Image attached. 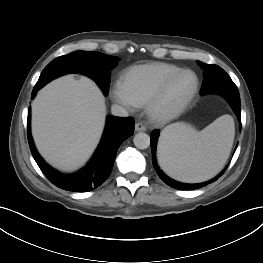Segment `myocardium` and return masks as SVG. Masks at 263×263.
Wrapping results in <instances>:
<instances>
[{
    "label": "myocardium",
    "instance_id": "f54148a6",
    "mask_svg": "<svg viewBox=\"0 0 263 263\" xmlns=\"http://www.w3.org/2000/svg\"><path fill=\"white\" fill-rule=\"evenodd\" d=\"M185 73H191L195 77V84L190 92V94L182 100L180 103L176 104L175 106L168 108V109H163L161 107V103L171 86V84L181 75ZM199 86H200V80L198 74L192 70V69H181L169 77H167L160 85L159 87L155 90V92L151 95L149 100L146 103V111L149 115V117L159 123L163 122H168L176 117H178L180 114H182L192 103L194 98L196 97L198 91H199Z\"/></svg>",
    "mask_w": 263,
    "mask_h": 263
}]
</instances>
